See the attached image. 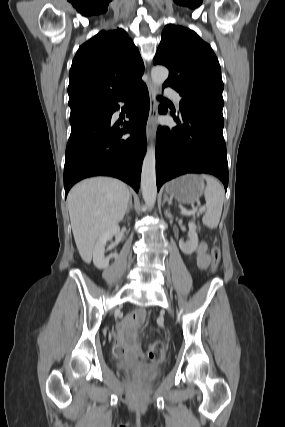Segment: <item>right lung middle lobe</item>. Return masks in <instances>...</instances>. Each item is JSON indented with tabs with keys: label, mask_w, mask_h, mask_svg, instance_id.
Returning <instances> with one entry per match:
<instances>
[{
	"label": "right lung middle lobe",
	"mask_w": 285,
	"mask_h": 427,
	"mask_svg": "<svg viewBox=\"0 0 285 427\" xmlns=\"http://www.w3.org/2000/svg\"><path fill=\"white\" fill-rule=\"evenodd\" d=\"M106 108H107V105H96V106L89 107V108H87V109H85V110H83V111H80V112L71 113V114H70V122H71L73 119H75L78 115H80L81 113H83V112H85V111H89V110H104V109H106Z\"/></svg>",
	"instance_id": "1"
}]
</instances>
